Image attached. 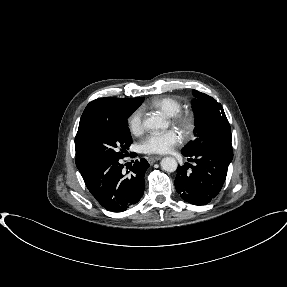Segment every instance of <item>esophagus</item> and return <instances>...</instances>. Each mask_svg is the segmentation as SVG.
<instances>
[{
  "mask_svg": "<svg viewBox=\"0 0 287 287\" xmlns=\"http://www.w3.org/2000/svg\"><path fill=\"white\" fill-rule=\"evenodd\" d=\"M160 159H161V156H154V157H150L148 159V162H149V164H153V163H155L156 161H158Z\"/></svg>",
  "mask_w": 287,
  "mask_h": 287,
  "instance_id": "1",
  "label": "esophagus"
}]
</instances>
